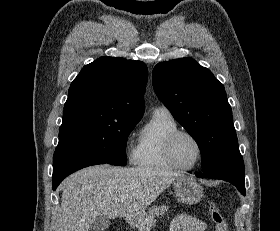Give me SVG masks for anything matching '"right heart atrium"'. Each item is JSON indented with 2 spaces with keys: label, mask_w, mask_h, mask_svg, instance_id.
Listing matches in <instances>:
<instances>
[{
  "label": "right heart atrium",
  "mask_w": 280,
  "mask_h": 231,
  "mask_svg": "<svg viewBox=\"0 0 280 231\" xmlns=\"http://www.w3.org/2000/svg\"><path fill=\"white\" fill-rule=\"evenodd\" d=\"M125 144H126V150H127V157L130 161L134 162L136 160L137 146L135 144L133 137L130 134L127 135Z\"/></svg>",
  "instance_id": "1"
}]
</instances>
